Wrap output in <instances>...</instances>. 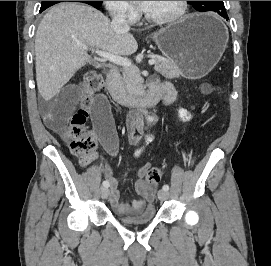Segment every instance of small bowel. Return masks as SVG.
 <instances>
[{"instance_id": "1", "label": "small bowel", "mask_w": 271, "mask_h": 266, "mask_svg": "<svg viewBox=\"0 0 271 266\" xmlns=\"http://www.w3.org/2000/svg\"><path fill=\"white\" fill-rule=\"evenodd\" d=\"M153 82L158 83V80L155 78L152 80V83ZM161 85L168 91V94L163 100L164 104H171L176 98V92L173 86L169 83H163ZM80 96L81 93L76 85H67L53 99L43 102L41 108L46 123L51 128L60 130L68 115L75 108ZM92 125L93 129L91 134L94 138L97 139L109 153L115 154L118 148V136L110 106L104 97H99L95 104ZM94 156L95 154H89L81 158L80 164L82 166L88 165L94 159ZM149 168L150 165L146 164L137 171L134 189L140 197L128 203L120 202L118 182L111 172L107 173L106 180L110 186L108 199L115 211L120 214L141 211L146 204L154 200L155 190L146 186L142 181V178Z\"/></svg>"}]
</instances>
